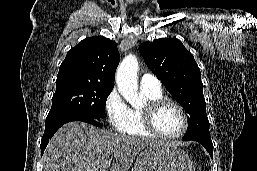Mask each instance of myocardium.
Wrapping results in <instances>:
<instances>
[{"label":"myocardium","instance_id":"f54148a6","mask_svg":"<svg viewBox=\"0 0 257 171\" xmlns=\"http://www.w3.org/2000/svg\"><path fill=\"white\" fill-rule=\"evenodd\" d=\"M167 104L173 105L175 108H177L178 111L181 113V116L183 119V127L181 131L174 135H166L161 133L156 128V125H155V115L157 111L161 107ZM141 109H142L143 126L147 132H149L151 135L155 137H158L161 139H167V140H174L182 137L188 129V126H189L188 115L185 109L177 101L173 99H170L167 97H161L156 100L147 101Z\"/></svg>","mask_w":257,"mask_h":171}]
</instances>
